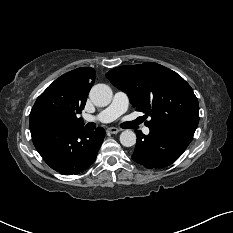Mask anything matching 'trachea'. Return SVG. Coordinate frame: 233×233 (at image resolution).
Masks as SVG:
<instances>
[{
  "label": "trachea",
  "mask_w": 233,
  "mask_h": 233,
  "mask_svg": "<svg viewBox=\"0 0 233 233\" xmlns=\"http://www.w3.org/2000/svg\"><path fill=\"white\" fill-rule=\"evenodd\" d=\"M86 127H87L88 129H90V130H93V129H95L96 124L93 123V122H90V123H88V124L86 125Z\"/></svg>",
  "instance_id": "1"
}]
</instances>
